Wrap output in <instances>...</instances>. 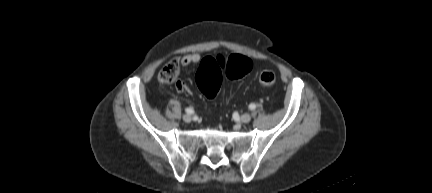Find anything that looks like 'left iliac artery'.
Returning <instances> with one entry per match:
<instances>
[{
    "label": "left iliac artery",
    "mask_w": 432,
    "mask_h": 193,
    "mask_svg": "<svg viewBox=\"0 0 432 193\" xmlns=\"http://www.w3.org/2000/svg\"><path fill=\"white\" fill-rule=\"evenodd\" d=\"M256 108V105L254 104V103H251L250 105H249V109L250 110H254Z\"/></svg>",
    "instance_id": "1"
}]
</instances>
